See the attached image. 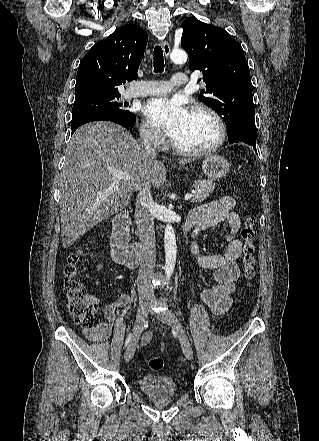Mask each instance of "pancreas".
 <instances>
[{
  "mask_svg": "<svg viewBox=\"0 0 319 441\" xmlns=\"http://www.w3.org/2000/svg\"><path fill=\"white\" fill-rule=\"evenodd\" d=\"M195 193L193 194V202H202L208 198L209 194L213 192L215 183L212 180H198L193 185Z\"/></svg>",
  "mask_w": 319,
  "mask_h": 441,
  "instance_id": "cf45deb5",
  "label": "pancreas"
}]
</instances>
